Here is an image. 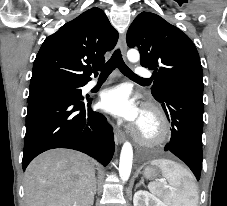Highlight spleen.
<instances>
[{
  "label": "spleen",
  "instance_id": "1",
  "mask_svg": "<svg viewBox=\"0 0 227 206\" xmlns=\"http://www.w3.org/2000/svg\"><path fill=\"white\" fill-rule=\"evenodd\" d=\"M151 164L158 166L168 181V185L150 183L148 187L152 193L167 206H198V189L189 171L179 163L167 159H157Z\"/></svg>",
  "mask_w": 227,
  "mask_h": 206
}]
</instances>
